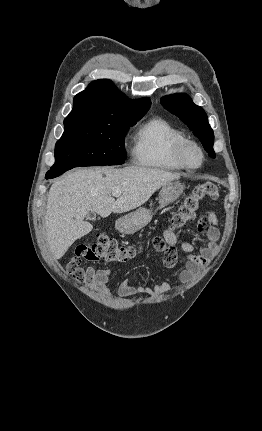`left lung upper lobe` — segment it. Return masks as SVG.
<instances>
[{
  "label": "left lung upper lobe",
  "instance_id": "1",
  "mask_svg": "<svg viewBox=\"0 0 262 431\" xmlns=\"http://www.w3.org/2000/svg\"><path fill=\"white\" fill-rule=\"evenodd\" d=\"M161 104L179 117L197 136L208 154L215 158L214 134L204 110L193 103L186 94H173L161 99Z\"/></svg>",
  "mask_w": 262,
  "mask_h": 431
}]
</instances>
